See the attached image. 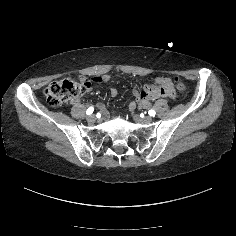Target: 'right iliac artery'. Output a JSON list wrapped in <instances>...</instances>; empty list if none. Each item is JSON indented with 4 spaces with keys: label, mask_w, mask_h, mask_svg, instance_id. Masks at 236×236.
Segmentation results:
<instances>
[{
    "label": "right iliac artery",
    "mask_w": 236,
    "mask_h": 236,
    "mask_svg": "<svg viewBox=\"0 0 236 236\" xmlns=\"http://www.w3.org/2000/svg\"><path fill=\"white\" fill-rule=\"evenodd\" d=\"M93 111H94V108H93V107H89V108L87 109V111H86V114H87V115H90V114L93 113Z\"/></svg>",
    "instance_id": "obj_1"
}]
</instances>
